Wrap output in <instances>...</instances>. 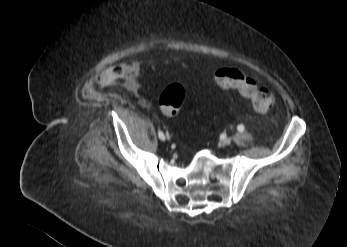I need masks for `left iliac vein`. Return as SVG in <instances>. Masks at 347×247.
I'll return each mask as SVG.
<instances>
[{
	"mask_svg": "<svg viewBox=\"0 0 347 247\" xmlns=\"http://www.w3.org/2000/svg\"><path fill=\"white\" fill-rule=\"evenodd\" d=\"M231 142H232L231 138H228V137H227V138H224V139L222 140V144L225 145V146L230 145Z\"/></svg>",
	"mask_w": 347,
	"mask_h": 247,
	"instance_id": "left-iliac-vein-1",
	"label": "left iliac vein"
}]
</instances>
